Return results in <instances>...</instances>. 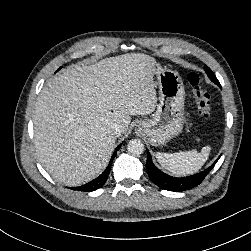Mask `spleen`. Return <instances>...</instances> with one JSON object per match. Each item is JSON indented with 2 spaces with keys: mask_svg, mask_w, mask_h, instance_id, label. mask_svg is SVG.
Listing matches in <instances>:
<instances>
[{
  "mask_svg": "<svg viewBox=\"0 0 251 251\" xmlns=\"http://www.w3.org/2000/svg\"><path fill=\"white\" fill-rule=\"evenodd\" d=\"M211 147L205 146L201 152L196 150L165 153L157 152L156 158L158 163L166 170L176 175H188L197 172L207 161Z\"/></svg>",
  "mask_w": 251,
  "mask_h": 251,
  "instance_id": "3e777b00",
  "label": "spleen"
}]
</instances>
